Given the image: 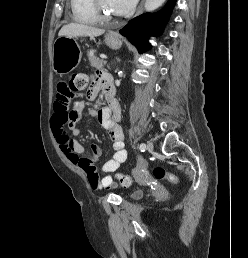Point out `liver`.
I'll list each match as a JSON object with an SVG mask.
<instances>
[{
    "instance_id": "6515ba94",
    "label": "liver",
    "mask_w": 248,
    "mask_h": 258,
    "mask_svg": "<svg viewBox=\"0 0 248 258\" xmlns=\"http://www.w3.org/2000/svg\"><path fill=\"white\" fill-rule=\"evenodd\" d=\"M105 32L103 29H98L94 27H90L83 24L78 23H70L67 25H64L59 33L58 36H70V37H97L102 35Z\"/></svg>"
}]
</instances>
